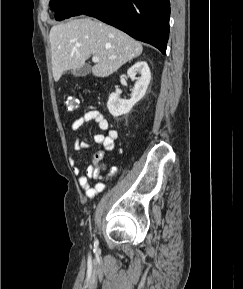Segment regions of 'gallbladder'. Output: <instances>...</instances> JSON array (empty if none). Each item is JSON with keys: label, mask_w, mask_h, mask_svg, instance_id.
I'll list each match as a JSON object with an SVG mask.
<instances>
[{"label": "gallbladder", "mask_w": 243, "mask_h": 289, "mask_svg": "<svg viewBox=\"0 0 243 289\" xmlns=\"http://www.w3.org/2000/svg\"><path fill=\"white\" fill-rule=\"evenodd\" d=\"M91 71V66L90 65H84L78 69L72 70V74L76 77H83L89 74Z\"/></svg>", "instance_id": "gallbladder-1"}]
</instances>
